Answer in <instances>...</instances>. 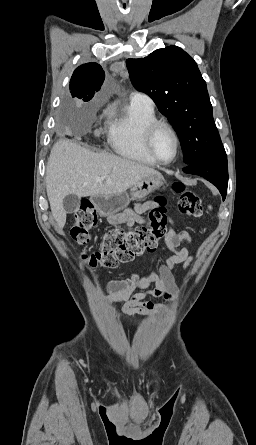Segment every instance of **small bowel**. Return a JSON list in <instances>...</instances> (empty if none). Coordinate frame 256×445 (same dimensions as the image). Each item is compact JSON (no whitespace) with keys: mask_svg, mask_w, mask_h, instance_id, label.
I'll return each mask as SVG.
<instances>
[{"mask_svg":"<svg viewBox=\"0 0 256 445\" xmlns=\"http://www.w3.org/2000/svg\"><path fill=\"white\" fill-rule=\"evenodd\" d=\"M156 206L153 201L138 204L134 212L128 214L124 221V227H131L134 223L142 222L140 214ZM182 242L192 243V238L187 231H177L171 227L167 234V247L173 253L170 257L158 262L157 268L149 272L144 277L132 274L131 277L123 280H113L108 283L109 301L122 302V311L127 315H156L161 312H168V309L160 304L145 301L147 294L155 297H163L166 300H173L177 296L172 269L181 264L186 270L192 263L194 257L188 249L181 247ZM153 286L152 290H148ZM135 291H139L133 294ZM137 320H132L125 324V328L138 326Z\"/></svg>","mask_w":256,"mask_h":445,"instance_id":"obj_1","label":"small bowel"}]
</instances>
